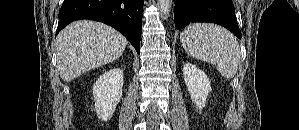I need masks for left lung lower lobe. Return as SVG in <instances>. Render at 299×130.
Instances as JSON below:
<instances>
[{"label":"left lung lower lobe","mask_w":299,"mask_h":130,"mask_svg":"<svg viewBox=\"0 0 299 130\" xmlns=\"http://www.w3.org/2000/svg\"><path fill=\"white\" fill-rule=\"evenodd\" d=\"M174 20L177 29L190 22L219 24L241 38L232 0H174Z\"/></svg>","instance_id":"left-lung-lower-lobe-1"}]
</instances>
